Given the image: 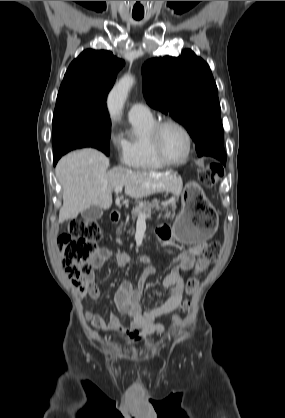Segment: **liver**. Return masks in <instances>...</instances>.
Wrapping results in <instances>:
<instances>
[{
	"mask_svg": "<svg viewBox=\"0 0 285 418\" xmlns=\"http://www.w3.org/2000/svg\"><path fill=\"white\" fill-rule=\"evenodd\" d=\"M108 167L109 159L91 148L71 152L59 160L55 173L63 188L60 223L75 219L92 205L108 210L116 187H125V194L134 199L161 191L179 196L182 191V179L172 171H133L124 167L107 171Z\"/></svg>",
	"mask_w": 285,
	"mask_h": 418,
	"instance_id": "1",
	"label": "liver"
}]
</instances>
